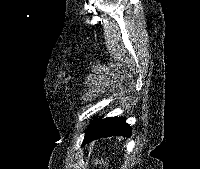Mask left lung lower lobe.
Returning a JSON list of instances; mask_svg holds the SVG:
<instances>
[{
    "label": "left lung lower lobe",
    "instance_id": "1",
    "mask_svg": "<svg viewBox=\"0 0 200 169\" xmlns=\"http://www.w3.org/2000/svg\"><path fill=\"white\" fill-rule=\"evenodd\" d=\"M130 126L124 117H108L105 119H93L86 130L83 145L101 137L129 136Z\"/></svg>",
    "mask_w": 200,
    "mask_h": 169
}]
</instances>
